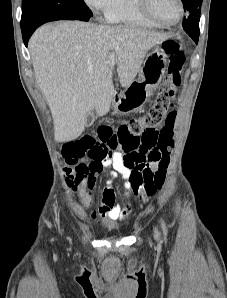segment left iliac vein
Instances as JSON below:
<instances>
[{
  "instance_id": "1",
  "label": "left iliac vein",
  "mask_w": 227,
  "mask_h": 298,
  "mask_svg": "<svg viewBox=\"0 0 227 298\" xmlns=\"http://www.w3.org/2000/svg\"><path fill=\"white\" fill-rule=\"evenodd\" d=\"M155 238H156V239L159 238V233H158V231H155Z\"/></svg>"
}]
</instances>
